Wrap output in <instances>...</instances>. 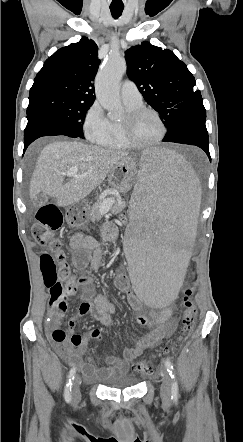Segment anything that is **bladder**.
I'll use <instances>...</instances> for the list:
<instances>
[{"instance_id": "31cf9c89", "label": "bladder", "mask_w": 243, "mask_h": 442, "mask_svg": "<svg viewBox=\"0 0 243 442\" xmlns=\"http://www.w3.org/2000/svg\"><path fill=\"white\" fill-rule=\"evenodd\" d=\"M138 384V380L127 373L111 376L105 379L101 386L109 389H125Z\"/></svg>"}]
</instances>
